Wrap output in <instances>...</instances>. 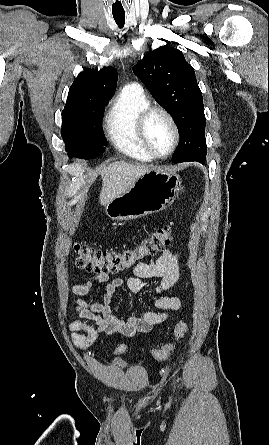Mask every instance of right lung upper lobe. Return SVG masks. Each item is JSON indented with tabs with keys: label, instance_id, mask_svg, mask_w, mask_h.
<instances>
[{
	"label": "right lung upper lobe",
	"instance_id": "1",
	"mask_svg": "<svg viewBox=\"0 0 269 445\" xmlns=\"http://www.w3.org/2000/svg\"><path fill=\"white\" fill-rule=\"evenodd\" d=\"M117 72L113 67L98 70L85 69L74 80L64 108L107 103L115 91Z\"/></svg>",
	"mask_w": 269,
	"mask_h": 445
}]
</instances>
